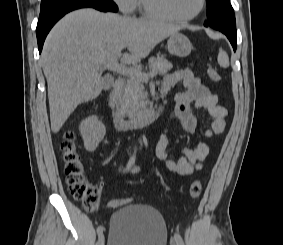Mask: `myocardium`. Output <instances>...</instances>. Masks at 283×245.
<instances>
[{
	"instance_id": "f54148a6",
	"label": "myocardium",
	"mask_w": 283,
	"mask_h": 245,
	"mask_svg": "<svg viewBox=\"0 0 283 245\" xmlns=\"http://www.w3.org/2000/svg\"><path fill=\"white\" fill-rule=\"evenodd\" d=\"M207 0H200V5L199 8L195 13H193L190 16L186 17H173L170 15L165 14L163 11H161L159 8H157L154 5L153 0H141L142 8L146 16L157 19V20H162V21H167V22H189L194 20L196 17H198L203 10L205 9Z\"/></svg>"
}]
</instances>
